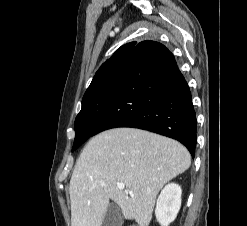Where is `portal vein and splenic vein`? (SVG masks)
<instances>
[{
    "label": "portal vein and splenic vein",
    "mask_w": 247,
    "mask_h": 226,
    "mask_svg": "<svg viewBox=\"0 0 247 226\" xmlns=\"http://www.w3.org/2000/svg\"><path fill=\"white\" fill-rule=\"evenodd\" d=\"M117 187H118L119 189H121V190L125 189V185L122 184V183H118V184H117ZM130 194H132V192H130Z\"/></svg>",
    "instance_id": "portal-vein-and-splenic-vein-1"
}]
</instances>
